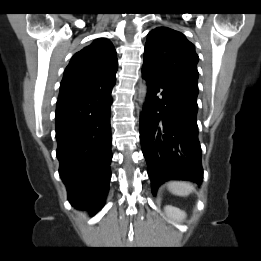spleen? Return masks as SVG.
<instances>
[{
  "label": "spleen",
  "instance_id": "1",
  "mask_svg": "<svg viewBox=\"0 0 261 261\" xmlns=\"http://www.w3.org/2000/svg\"><path fill=\"white\" fill-rule=\"evenodd\" d=\"M168 186L169 190L178 196H187L194 190V185L186 181H171Z\"/></svg>",
  "mask_w": 261,
  "mask_h": 261
}]
</instances>
